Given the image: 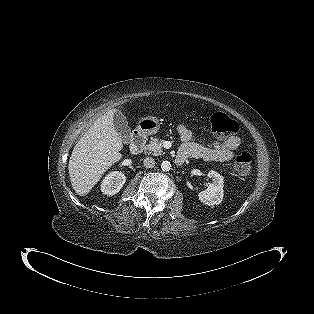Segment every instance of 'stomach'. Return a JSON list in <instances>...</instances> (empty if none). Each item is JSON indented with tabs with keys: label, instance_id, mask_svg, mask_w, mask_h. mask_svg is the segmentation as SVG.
I'll return each mask as SVG.
<instances>
[{
	"label": "stomach",
	"instance_id": "obj_1",
	"mask_svg": "<svg viewBox=\"0 0 314 314\" xmlns=\"http://www.w3.org/2000/svg\"><path fill=\"white\" fill-rule=\"evenodd\" d=\"M160 124V120L156 117H144L138 122L136 131L142 136L154 135L159 132Z\"/></svg>",
	"mask_w": 314,
	"mask_h": 314
}]
</instances>
